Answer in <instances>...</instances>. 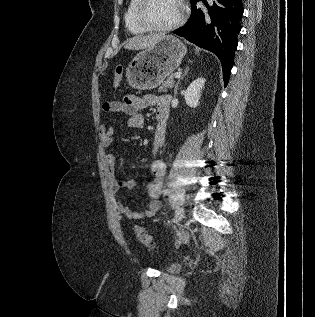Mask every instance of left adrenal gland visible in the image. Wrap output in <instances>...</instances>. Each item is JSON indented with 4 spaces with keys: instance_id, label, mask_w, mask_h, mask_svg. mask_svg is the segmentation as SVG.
Masks as SVG:
<instances>
[{
    "instance_id": "obj_1",
    "label": "left adrenal gland",
    "mask_w": 315,
    "mask_h": 317,
    "mask_svg": "<svg viewBox=\"0 0 315 317\" xmlns=\"http://www.w3.org/2000/svg\"><path fill=\"white\" fill-rule=\"evenodd\" d=\"M189 71V67H186L184 74L181 76V78L178 80L176 86H175V90H174V96L177 95V91H178V85L180 84V81L187 75Z\"/></svg>"
}]
</instances>
